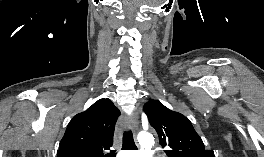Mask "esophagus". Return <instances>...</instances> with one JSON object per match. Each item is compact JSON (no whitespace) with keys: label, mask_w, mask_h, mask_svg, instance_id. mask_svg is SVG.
Listing matches in <instances>:
<instances>
[{"label":"esophagus","mask_w":264,"mask_h":157,"mask_svg":"<svg viewBox=\"0 0 264 157\" xmlns=\"http://www.w3.org/2000/svg\"><path fill=\"white\" fill-rule=\"evenodd\" d=\"M126 126L130 129H133L135 130L136 129V126H137V121H136V118L135 116H131V117H128L126 119Z\"/></svg>","instance_id":"obj_1"}]
</instances>
